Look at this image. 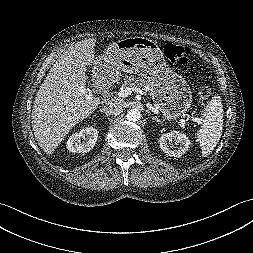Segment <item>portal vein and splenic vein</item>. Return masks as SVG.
<instances>
[{"mask_svg":"<svg viewBox=\"0 0 253 253\" xmlns=\"http://www.w3.org/2000/svg\"><path fill=\"white\" fill-rule=\"evenodd\" d=\"M83 91V90H82ZM132 92H139V93H142L143 90L138 88V87H127V88H122L120 89V91L118 92V96L121 97V98H126L128 97L129 95H131ZM86 93V96H87V99H92L93 95L91 94V92H87L85 91ZM195 122H197L198 124H201L202 123V120L200 118H196L194 119ZM180 123L184 126L185 125V120L181 119L180 120Z\"/></svg>","mask_w":253,"mask_h":253,"instance_id":"1","label":"portal vein and splenic vein"}]
</instances>
